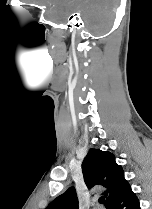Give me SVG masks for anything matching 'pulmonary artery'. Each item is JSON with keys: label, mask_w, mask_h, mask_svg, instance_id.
<instances>
[{"label": "pulmonary artery", "mask_w": 152, "mask_h": 209, "mask_svg": "<svg viewBox=\"0 0 152 209\" xmlns=\"http://www.w3.org/2000/svg\"><path fill=\"white\" fill-rule=\"evenodd\" d=\"M93 209H99L98 207H95V208H93Z\"/></svg>", "instance_id": "obj_1"}]
</instances>
